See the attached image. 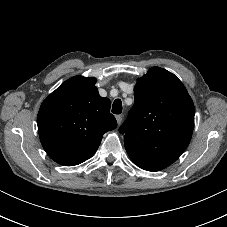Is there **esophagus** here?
<instances>
[{
	"instance_id": "1",
	"label": "esophagus",
	"mask_w": 227,
	"mask_h": 227,
	"mask_svg": "<svg viewBox=\"0 0 227 227\" xmlns=\"http://www.w3.org/2000/svg\"><path fill=\"white\" fill-rule=\"evenodd\" d=\"M115 118H116V120H117L118 125H120L121 122H122V119H123L122 115H116Z\"/></svg>"
}]
</instances>
